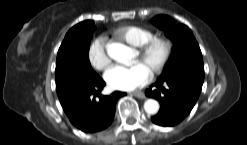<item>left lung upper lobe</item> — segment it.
<instances>
[{"instance_id":"obj_1","label":"left lung upper lobe","mask_w":247,"mask_h":145,"mask_svg":"<svg viewBox=\"0 0 247 145\" xmlns=\"http://www.w3.org/2000/svg\"><path fill=\"white\" fill-rule=\"evenodd\" d=\"M174 43L170 63L162 75H167L179 69L204 70L202 53L192 31L185 25L175 26L167 15H158L153 20Z\"/></svg>"}]
</instances>
